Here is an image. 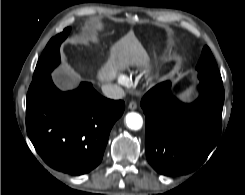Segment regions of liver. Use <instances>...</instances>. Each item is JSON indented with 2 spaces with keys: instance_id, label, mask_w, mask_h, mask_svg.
<instances>
[{
  "instance_id": "liver-1",
  "label": "liver",
  "mask_w": 245,
  "mask_h": 195,
  "mask_svg": "<svg viewBox=\"0 0 245 195\" xmlns=\"http://www.w3.org/2000/svg\"><path fill=\"white\" fill-rule=\"evenodd\" d=\"M128 64L146 70L150 68L148 55L133 31L128 32L111 48L109 60L98 73L99 80L102 82L112 81L117 71ZM54 75L59 85L64 89L71 88L74 85L75 77H77L76 72L67 63L56 70Z\"/></svg>"
}]
</instances>
